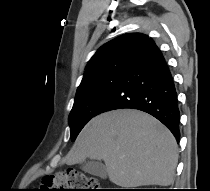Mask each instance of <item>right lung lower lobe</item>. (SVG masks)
I'll use <instances>...</instances> for the list:
<instances>
[{
  "label": "right lung lower lobe",
  "instance_id": "obj_1",
  "mask_svg": "<svg viewBox=\"0 0 210 191\" xmlns=\"http://www.w3.org/2000/svg\"><path fill=\"white\" fill-rule=\"evenodd\" d=\"M123 108L138 109L154 116L179 141L177 92L168 65L151 38L132 56L97 115Z\"/></svg>",
  "mask_w": 210,
  "mask_h": 191
}]
</instances>
